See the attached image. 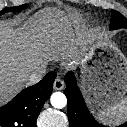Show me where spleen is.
<instances>
[{"instance_id": "spleen-1", "label": "spleen", "mask_w": 127, "mask_h": 127, "mask_svg": "<svg viewBox=\"0 0 127 127\" xmlns=\"http://www.w3.org/2000/svg\"><path fill=\"white\" fill-rule=\"evenodd\" d=\"M98 118L108 124H118L127 119V97L100 111Z\"/></svg>"}]
</instances>
